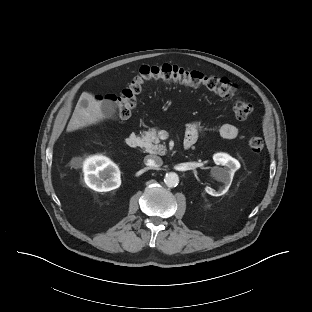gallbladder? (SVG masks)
<instances>
[{
    "mask_svg": "<svg viewBox=\"0 0 312 312\" xmlns=\"http://www.w3.org/2000/svg\"><path fill=\"white\" fill-rule=\"evenodd\" d=\"M100 111L104 117L111 118L116 114V105L111 100L103 99L100 102Z\"/></svg>",
    "mask_w": 312,
    "mask_h": 312,
    "instance_id": "gallbladder-1",
    "label": "gallbladder"
}]
</instances>
